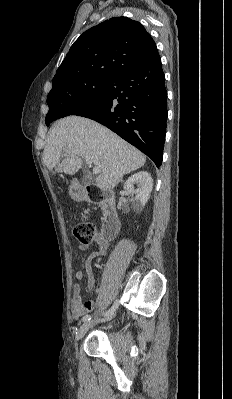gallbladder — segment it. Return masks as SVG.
Instances as JSON below:
<instances>
[{
  "label": "gallbladder",
  "mask_w": 232,
  "mask_h": 399,
  "mask_svg": "<svg viewBox=\"0 0 232 399\" xmlns=\"http://www.w3.org/2000/svg\"><path fill=\"white\" fill-rule=\"evenodd\" d=\"M81 169L83 170V176H84V178H82L81 180L82 186H91L92 184L91 178H85L90 176V168L88 167V164L82 163Z\"/></svg>",
  "instance_id": "bac80fb5"
}]
</instances>
